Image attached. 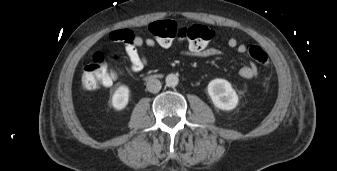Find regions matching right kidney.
<instances>
[{
  "mask_svg": "<svg viewBox=\"0 0 337 171\" xmlns=\"http://www.w3.org/2000/svg\"><path fill=\"white\" fill-rule=\"evenodd\" d=\"M129 88L127 86H120L116 89L112 96V106L116 110H122L124 109L129 101Z\"/></svg>",
  "mask_w": 337,
  "mask_h": 171,
  "instance_id": "ca27d5eb",
  "label": "right kidney"
}]
</instances>
